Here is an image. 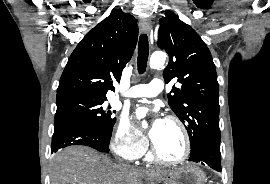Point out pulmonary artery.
Wrapping results in <instances>:
<instances>
[{
  "label": "pulmonary artery",
  "mask_w": 270,
  "mask_h": 184,
  "mask_svg": "<svg viewBox=\"0 0 270 184\" xmlns=\"http://www.w3.org/2000/svg\"><path fill=\"white\" fill-rule=\"evenodd\" d=\"M164 85L162 80L153 79L148 84H140L131 87L125 96L130 98H140V97H155L163 91Z\"/></svg>",
  "instance_id": "obj_1"
}]
</instances>
